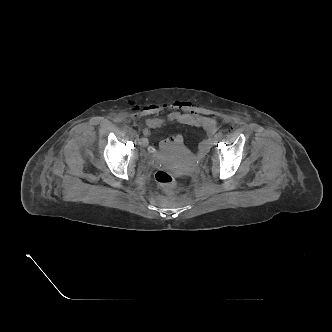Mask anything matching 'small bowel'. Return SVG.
Masks as SVG:
<instances>
[{
  "instance_id": "c3829d8e",
  "label": "small bowel",
  "mask_w": 332,
  "mask_h": 332,
  "mask_svg": "<svg viewBox=\"0 0 332 332\" xmlns=\"http://www.w3.org/2000/svg\"><path fill=\"white\" fill-rule=\"evenodd\" d=\"M171 110L165 118L152 117L145 121V127L142 129L144 135L140 140V145L148 147L150 152H154L152 147H149L148 137L152 129L160 128L168 123H178L183 125L196 126L204 130L206 137L199 144L200 153H205L210 144L211 137L215 134L218 128V121L209 116L199 114L189 108L187 103L183 101H173L165 104H153L145 108V113L152 115L158 114L163 110ZM183 142L180 135H174L169 139L162 140L159 143L160 148L165 149L170 145H179Z\"/></svg>"
}]
</instances>
